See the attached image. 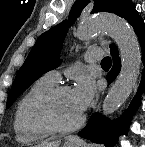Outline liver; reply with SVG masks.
Returning a JSON list of instances; mask_svg holds the SVG:
<instances>
[{
	"label": "liver",
	"mask_w": 145,
	"mask_h": 147,
	"mask_svg": "<svg viewBox=\"0 0 145 147\" xmlns=\"http://www.w3.org/2000/svg\"><path fill=\"white\" fill-rule=\"evenodd\" d=\"M60 145V141H56V142H42L38 145H36L35 147H59Z\"/></svg>",
	"instance_id": "obj_1"
}]
</instances>
